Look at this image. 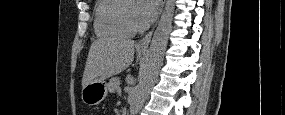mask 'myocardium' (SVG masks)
I'll use <instances>...</instances> for the list:
<instances>
[{
    "mask_svg": "<svg viewBox=\"0 0 285 115\" xmlns=\"http://www.w3.org/2000/svg\"><path fill=\"white\" fill-rule=\"evenodd\" d=\"M130 1L123 4L121 9V19L124 25L133 33L142 31L144 27L142 25H137L133 22L132 18L128 15L127 10L129 8Z\"/></svg>",
    "mask_w": 285,
    "mask_h": 115,
    "instance_id": "myocardium-1",
    "label": "myocardium"
}]
</instances>
